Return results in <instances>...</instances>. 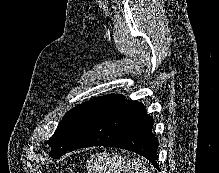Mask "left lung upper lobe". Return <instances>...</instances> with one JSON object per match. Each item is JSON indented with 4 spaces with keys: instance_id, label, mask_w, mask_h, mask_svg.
Instances as JSON below:
<instances>
[{
    "instance_id": "1",
    "label": "left lung upper lobe",
    "mask_w": 219,
    "mask_h": 173,
    "mask_svg": "<svg viewBox=\"0 0 219 173\" xmlns=\"http://www.w3.org/2000/svg\"><path fill=\"white\" fill-rule=\"evenodd\" d=\"M116 95H105L84 102L69 110L59 123L54 135L47 141L52 158H59L78 138L97 111Z\"/></svg>"
}]
</instances>
